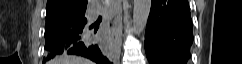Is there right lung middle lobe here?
<instances>
[{
	"label": "right lung middle lobe",
	"mask_w": 242,
	"mask_h": 64,
	"mask_svg": "<svg viewBox=\"0 0 242 64\" xmlns=\"http://www.w3.org/2000/svg\"><path fill=\"white\" fill-rule=\"evenodd\" d=\"M86 7L71 10L57 11L46 14L45 38L58 29L69 27L78 23H85L87 19L84 17Z\"/></svg>",
	"instance_id": "dd1d6c3e"
}]
</instances>
